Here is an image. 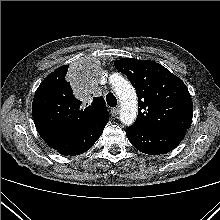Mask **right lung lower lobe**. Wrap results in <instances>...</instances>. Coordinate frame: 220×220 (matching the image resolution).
Instances as JSON below:
<instances>
[{
    "mask_svg": "<svg viewBox=\"0 0 220 220\" xmlns=\"http://www.w3.org/2000/svg\"><path fill=\"white\" fill-rule=\"evenodd\" d=\"M108 121L109 116H100L79 129L40 136L51 148L62 155H79L94 145Z\"/></svg>",
    "mask_w": 220,
    "mask_h": 220,
    "instance_id": "right-lung-lower-lobe-1",
    "label": "right lung lower lobe"
}]
</instances>
